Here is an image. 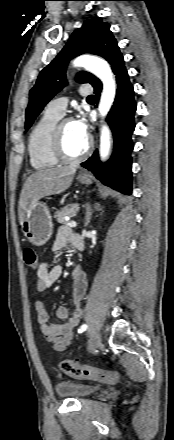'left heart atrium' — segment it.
Here are the masks:
<instances>
[{"label": "left heart atrium", "mask_w": 174, "mask_h": 440, "mask_svg": "<svg viewBox=\"0 0 174 440\" xmlns=\"http://www.w3.org/2000/svg\"><path fill=\"white\" fill-rule=\"evenodd\" d=\"M73 128L78 136L82 139H88V126L83 117L79 116L75 120L72 121Z\"/></svg>", "instance_id": "1"}]
</instances>
